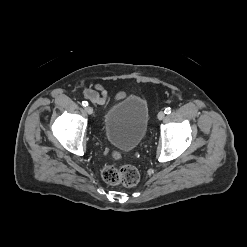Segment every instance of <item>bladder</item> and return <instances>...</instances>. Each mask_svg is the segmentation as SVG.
Masks as SVG:
<instances>
[{
	"instance_id": "obj_1",
	"label": "bladder",
	"mask_w": 247,
	"mask_h": 247,
	"mask_svg": "<svg viewBox=\"0 0 247 247\" xmlns=\"http://www.w3.org/2000/svg\"><path fill=\"white\" fill-rule=\"evenodd\" d=\"M149 120L146 101L130 95L111 106L103 117L105 138L122 151L134 150L144 139Z\"/></svg>"
}]
</instances>
